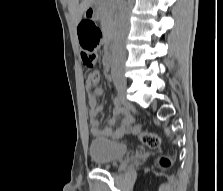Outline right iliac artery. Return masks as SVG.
Returning a JSON list of instances; mask_svg holds the SVG:
<instances>
[{"label":"right iliac artery","instance_id":"1","mask_svg":"<svg viewBox=\"0 0 223 191\" xmlns=\"http://www.w3.org/2000/svg\"><path fill=\"white\" fill-rule=\"evenodd\" d=\"M121 97L118 95V96H116L115 97V103H117V104H119V105H121Z\"/></svg>","mask_w":223,"mask_h":191}]
</instances>
